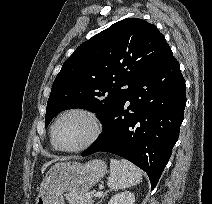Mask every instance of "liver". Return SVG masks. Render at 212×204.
<instances>
[{
	"label": "liver",
	"instance_id": "liver-1",
	"mask_svg": "<svg viewBox=\"0 0 212 204\" xmlns=\"http://www.w3.org/2000/svg\"><path fill=\"white\" fill-rule=\"evenodd\" d=\"M54 161H55V160L46 162V163L42 166L41 172L44 173V171L46 170V168H47L50 164H52Z\"/></svg>",
	"mask_w": 212,
	"mask_h": 204
}]
</instances>
